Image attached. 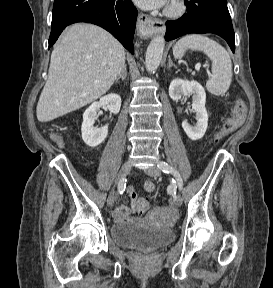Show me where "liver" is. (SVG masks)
<instances>
[{
    "mask_svg": "<svg viewBox=\"0 0 273 288\" xmlns=\"http://www.w3.org/2000/svg\"><path fill=\"white\" fill-rule=\"evenodd\" d=\"M124 65V47L106 30L84 23L69 26L52 51L37 119L52 121L97 100Z\"/></svg>",
    "mask_w": 273,
    "mask_h": 288,
    "instance_id": "liver-1",
    "label": "liver"
}]
</instances>
